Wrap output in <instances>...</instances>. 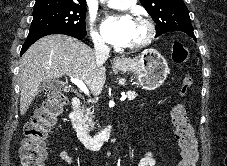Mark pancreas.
I'll return each instance as SVG.
<instances>
[{
	"mask_svg": "<svg viewBox=\"0 0 227 166\" xmlns=\"http://www.w3.org/2000/svg\"><path fill=\"white\" fill-rule=\"evenodd\" d=\"M137 96L135 91H128L127 97L128 100H133ZM94 118V111L90 108L83 107L80 113V122L85 127H88L90 130L94 129L95 122L93 121Z\"/></svg>",
	"mask_w": 227,
	"mask_h": 166,
	"instance_id": "cf45deb5",
	"label": "pancreas"
}]
</instances>
